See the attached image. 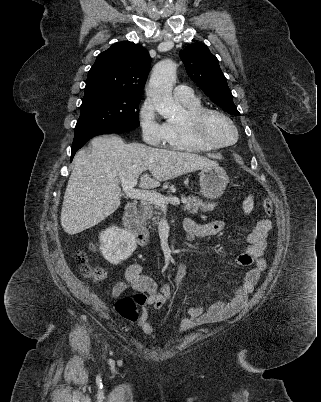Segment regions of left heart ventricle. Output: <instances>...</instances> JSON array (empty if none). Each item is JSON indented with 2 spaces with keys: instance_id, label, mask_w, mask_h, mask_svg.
<instances>
[{
  "instance_id": "left-heart-ventricle-1",
  "label": "left heart ventricle",
  "mask_w": 321,
  "mask_h": 402,
  "mask_svg": "<svg viewBox=\"0 0 321 402\" xmlns=\"http://www.w3.org/2000/svg\"><path fill=\"white\" fill-rule=\"evenodd\" d=\"M206 134L219 143L231 142L234 139L232 127L219 116H210L205 124Z\"/></svg>"
}]
</instances>
